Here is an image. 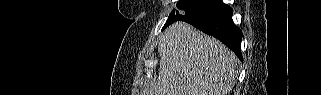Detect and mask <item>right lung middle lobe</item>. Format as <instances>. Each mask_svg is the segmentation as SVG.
Masks as SVG:
<instances>
[{
    "label": "right lung middle lobe",
    "instance_id": "dd1d6c3e",
    "mask_svg": "<svg viewBox=\"0 0 321 95\" xmlns=\"http://www.w3.org/2000/svg\"><path fill=\"white\" fill-rule=\"evenodd\" d=\"M214 0H180L177 3V8L179 10H173L169 17L167 22L165 23L164 28H166L168 25L173 23L176 20H179L185 16L191 15L205 6L212 3Z\"/></svg>",
    "mask_w": 321,
    "mask_h": 95
}]
</instances>
